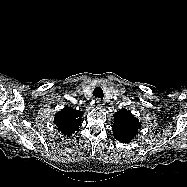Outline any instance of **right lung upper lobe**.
<instances>
[{"instance_id":"obj_1","label":"right lung upper lobe","mask_w":187,"mask_h":187,"mask_svg":"<svg viewBox=\"0 0 187 187\" xmlns=\"http://www.w3.org/2000/svg\"><path fill=\"white\" fill-rule=\"evenodd\" d=\"M82 115V111L66 106L56 113L54 123L59 131L69 136L79 129Z\"/></svg>"}]
</instances>
